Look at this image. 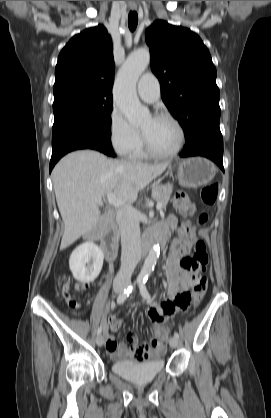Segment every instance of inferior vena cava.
Here are the masks:
<instances>
[{
    "instance_id": "1",
    "label": "inferior vena cava",
    "mask_w": 271,
    "mask_h": 418,
    "mask_svg": "<svg viewBox=\"0 0 271 418\" xmlns=\"http://www.w3.org/2000/svg\"><path fill=\"white\" fill-rule=\"evenodd\" d=\"M116 221L121 232V267L114 284L130 283L131 276L141 253V238L138 221L130 204L120 207Z\"/></svg>"
}]
</instances>
